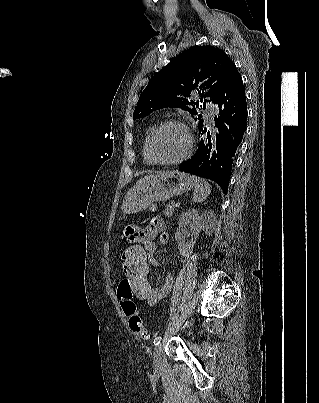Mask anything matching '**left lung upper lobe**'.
<instances>
[{
	"mask_svg": "<svg viewBox=\"0 0 319 403\" xmlns=\"http://www.w3.org/2000/svg\"><path fill=\"white\" fill-rule=\"evenodd\" d=\"M232 65L226 53L213 46H195L184 51L151 78L140 95L133 119L166 107L181 108L192 116L197 114L194 105L205 109L207 100L202 98L206 96L213 101ZM194 92L202 95L200 103L188 99ZM198 116L200 129L203 120Z\"/></svg>",
	"mask_w": 319,
	"mask_h": 403,
	"instance_id": "1",
	"label": "left lung upper lobe"
}]
</instances>
